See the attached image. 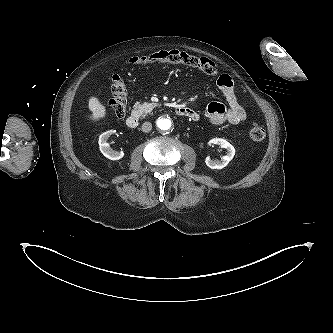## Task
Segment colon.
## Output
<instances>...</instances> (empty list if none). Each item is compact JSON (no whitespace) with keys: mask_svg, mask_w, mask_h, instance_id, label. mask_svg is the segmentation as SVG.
I'll return each mask as SVG.
<instances>
[{"mask_svg":"<svg viewBox=\"0 0 333 333\" xmlns=\"http://www.w3.org/2000/svg\"><path fill=\"white\" fill-rule=\"evenodd\" d=\"M129 62L132 65L143 66L150 64L184 65L200 70L206 75H217L215 63L206 57H197L178 50H161L145 56L132 57ZM111 99L109 101V111L116 118H122L126 112L127 88L124 80L119 75L111 78ZM265 130L259 125H254L249 136L255 142L265 138Z\"/></svg>","mask_w":333,"mask_h":333,"instance_id":"1","label":"colon"}]
</instances>
